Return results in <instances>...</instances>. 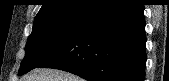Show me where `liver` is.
<instances>
[{"label":"liver","mask_w":169,"mask_h":81,"mask_svg":"<svg viewBox=\"0 0 169 81\" xmlns=\"http://www.w3.org/2000/svg\"><path fill=\"white\" fill-rule=\"evenodd\" d=\"M24 81H80V78L70 73L55 69H34Z\"/></svg>","instance_id":"obj_1"}]
</instances>
